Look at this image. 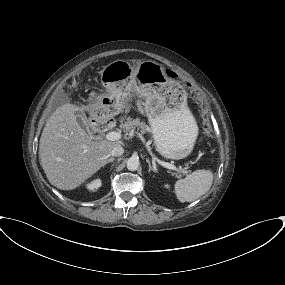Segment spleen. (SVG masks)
<instances>
[{"instance_id":"1","label":"spleen","mask_w":285,"mask_h":285,"mask_svg":"<svg viewBox=\"0 0 285 285\" xmlns=\"http://www.w3.org/2000/svg\"><path fill=\"white\" fill-rule=\"evenodd\" d=\"M212 183L213 173L211 170H196L184 179L176 181L174 191L180 202H192L208 192Z\"/></svg>"}]
</instances>
